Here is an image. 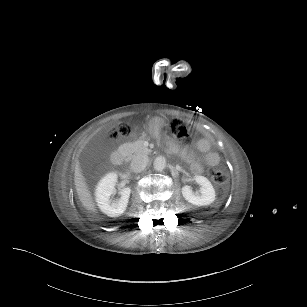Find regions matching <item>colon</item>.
<instances>
[{
  "label": "colon",
  "instance_id": "1",
  "mask_svg": "<svg viewBox=\"0 0 307 307\" xmlns=\"http://www.w3.org/2000/svg\"><path fill=\"white\" fill-rule=\"evenodd\" d=\"M170 130L175 139L183 146L189 145L194 137L191 126L182 119L174 118L170 123ZM128 134V126L120 124L111 130V138L117 139ZM211 179L217 184H225L227 181V174L224 169L220 167H212L209 171Z\"/></svg>",
  "mask_w": 307,
  "mask_h": 307
}]
</instances>
